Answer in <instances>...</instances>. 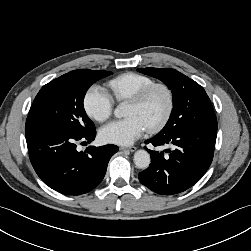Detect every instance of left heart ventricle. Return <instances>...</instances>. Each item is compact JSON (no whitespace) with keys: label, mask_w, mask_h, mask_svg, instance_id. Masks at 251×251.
Segmentation results:
<instances>
[{"label":"left heart ventricle","mask_w":251,"mask_h":251,"mask_svg":"<svg viewBox=\"0 0 251 251\" xmlns=\"http://www.w3.org/2000/svg\"><path fill=\"white\" fill-rule=\"evenodd\" d=\"M167 105L166 95L162 90H155L142 105L128 103L126 116L139 117L146 127L156 123L163 115Z\"/></svg>","instance_id":"1"}]
</instances>
